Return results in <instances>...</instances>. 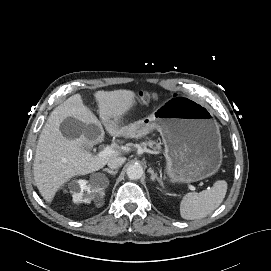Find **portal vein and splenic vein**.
I'll list each match as a JSON object with an SVG mask.
<instances>
[{"instance_id":"1","label":"portal vein and splenic vein","mask_w":271,"mask_h":271,"mask_svg":"<svg viewBox=\"0 0 271 271\" xmlns=\"http://www.w3.org/2000/svg\"><path fill=\"white\" fill-rule=\"evenodd\" d=\"M115 152H116V151L113 150V149L111 148V146L107 145V146L104 148L103 151H101V152H99V153L97 154V156H98V157H106V156L113 155ZM188 187H189V189L192 190V191H195V190H196V187L193 186V185H191V184H189Z\"/></svg>"}]
</instances>
